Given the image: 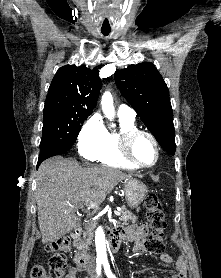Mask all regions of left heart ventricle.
Returning <instances> with one entry per match:
<instances>
[{"label": "left heart ventricle", "instance_id": "1", "mask_svg": "<svg viewBox=\"0 0 221 278\" xmlns=\"http://www.w3.org/2000/svg\"><path fill=\"white\" fill-rule=\"evenodd\" d=\"M132 156L141 164H152L156 158V150L152 141L147 136H138L132 146Z\"/></svg>", "mask_w": 221, "mask_h": 278}]
</instances>
